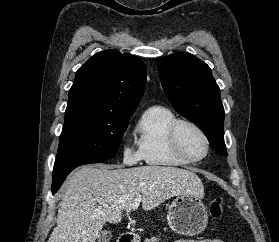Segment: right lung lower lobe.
I'll use <instances>...</instances> for the list:
<instances>
[{
    "label": "right lung lower lobe",
    "mask_w": 279,
    "mask_h": 242,
    "mask_svg": "<svg viewBox=\"0 0 279 242\" xmlns=\"http://www.w3.org/2000/svg\"><path fill=\"white\" fill-rule=\"evenodd\" d=\"M65 178L66 176L52 183V194H55L59 190Z\"/></svg>",
    "instance_id": "obj_1"
}]
</instances>
